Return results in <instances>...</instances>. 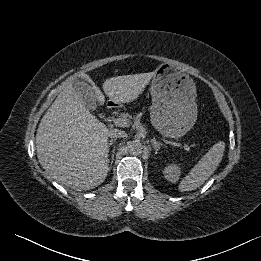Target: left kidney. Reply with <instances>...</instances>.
Wrapping results in <instances>:
<instances>
[{
	"instance_id": "left-kidney-1",
	"label": "left kidney",
	"mask_w": 261,
	"mask_h": 261,
	"mask_svg": "<svg viewBox=\"0 0 261 261\" xmlns=\"http://www.w3.org/2000/svg\"><path fill=\"white\" fill-rule=\"evenodd\" d=\"M180 173V167L177 164H169L163 170L165 178L171 183H176L179 180Z\"/></svg>"
}]
</instances>
